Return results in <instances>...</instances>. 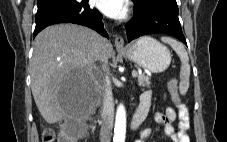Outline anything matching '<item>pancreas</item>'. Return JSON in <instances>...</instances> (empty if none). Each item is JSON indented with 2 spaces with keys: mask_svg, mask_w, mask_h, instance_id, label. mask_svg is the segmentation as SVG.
Segmentation results:
<instances>
[{
  "mask_svg": "<svg viewBox=\"0 0 227 142\" xmlns=\"http://www.w3.org/2000/svg\"><path fill=\"white\" fill-rule=\"evenodd\" d=\"M137 79H138V84L142 87H146L150 85V77L145 74L138 75Z\"/></svg>",
  "mask_w": 227,
  "mask_h": 142,
  "instance_id": "obj_1",
  "label": "pancreas"
}]
</instances>
